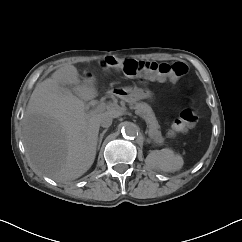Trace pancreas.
<instances>
[{
    "label": "pancreas",
    "instance_id": "cf45deb5",
    "mask_svg": "<svg viewBox=\"0 0 242 242\" xmlns=\"http://www.w3.org/2000/svg\"><path fill=\"white\" fill-rule=\"evenodd\" d=\"M131 107L135 109L137 115L141 116L145 119L148 128H149V136L155 141L161 140V132L159 131V124L156 120L155 114L152 108L144 102L141 103H131Z\"/></svg>",
    "mask_w": 242,
    "mask_h": 242
}]
</instances>
